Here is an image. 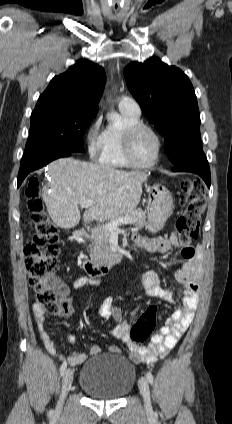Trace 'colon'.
Returning a JSON list of instances; mask_svg holds the SVG:
<instances>
[{
    "label": "colon",
    "instance_id": "colon-1",
    "mask_svg": "<svg viewBox=\"0 0 232 424\" xmlns=\"http://www.w3.org/2000/svg\"><path fill=\"white\" fill-rule=\"evenodd\" d=\"M182 191L181 204L185 210L177 220L176 231L180 255L190 259L194 255L192 242L198 236L201 216L206 208V189L200 180L187 179L182 183ZM26 197L35 229L32 242L24 249L29 283L35 291L37 304L51 314L63 315L66 310L59 300L60 281L55 276L59 231L46 213L36 178L29 180ZM157 312L156 306H150L133 324L130 337L134 343L144 342L151 335L157 324Z\"/></svg>",
    "mask_w": 232,
    "mask_h": 424
}]
</instances>
